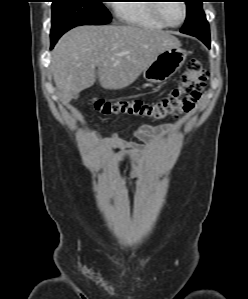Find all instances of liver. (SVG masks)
<instances>
[{
    "instance_id": "6515ba94",
    "label": "liver",
    "mask_w": 248,
    "mask_h": 299,
    "mask_svg": "<svg viewBox=\"0 0 248 299\" xmlns=\"http://www.w3.org/2000/svg\"><path fill=\"white\" fill-rule=\"evenodd\" d=\"M180 41L168 31L134 25L80 26L61 37L52 52L51 71L60 100L91 87L98 67L100 85L117 90L131 85L156 56Z\"/></svg>"
}]
</instances>
